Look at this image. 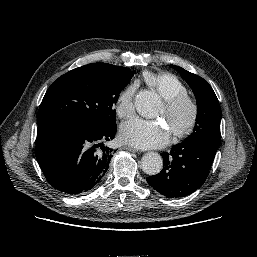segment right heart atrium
Returning a JSON list of instances; mask_svg holds the SVG:
<instances>
[{"label":"right heart atrium","mask_w":257,"mask_h":257,"mask_svg":"<svg viewBox=\"0 0 257 257\" xmlns=\"http://www.w3.org/2000/svg\"><path fill=\"white\" fill-rule=\"evenodd\" d=\"M135 84L127 85L119 94L116 103V112L120 118L126 119L134 113Z\"/></svg>","instance_id":"right-heart-atrium-1"}]
</instances>
